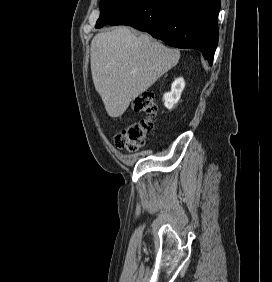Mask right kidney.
<instances>
[{"mask_svg":"<svg viewBox=\"0 0 272 282\" xmlns=\"http://www.w3.org/2000/svg\"><path fill=\"white\" fill-rule=\"evenodd\" d=\"M184 87L185 81L182 77H179L174 80L171 85V91L166 92L163 96V101L166 108L170 110L176 103H178Z\"/></svg>","mask_w":272,"mask_h":282,"instance_id":"right-kidney-1","label":"right kidney"}]
</instances>
